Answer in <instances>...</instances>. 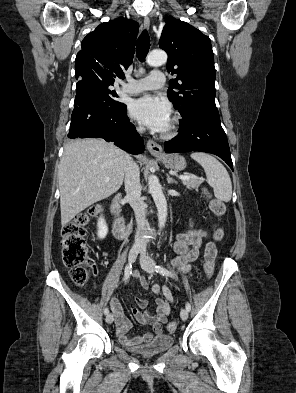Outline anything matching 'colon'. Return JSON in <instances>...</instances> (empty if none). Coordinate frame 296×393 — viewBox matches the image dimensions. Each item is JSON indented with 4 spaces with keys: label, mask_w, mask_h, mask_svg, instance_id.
Listing matches in <instances>:
<instances>
[{
    "label": "colon",
    "mask_w": 296,
    "mask_h": 393,
    "mask_svg": "<svg viewBox=\"0 0 296 393\" xmlns=\"http://www.w3.org/2000/svg\"><path fill=\"white\" fill-rule=\"evenodd\" d=\"M209 199V208L214 215L222 217L226 214V205L205 191ZM99 212V206L93 205L86 212L80 213L72 221L64 225L61 236V249L64 263L71 270L72 280L79 286L85 285L90 277L88 269L89 260L87 257L86 234L87 225L91 218L95 217ZM222 230H216L213 238L215 242L222 239ZM204 272L207 278H211L214 273V263L211 260H205ZM177 327L176 322L168 325L170 331H174Z\"/></svg>",
    "instance_id": "1"
}]
</instances>
